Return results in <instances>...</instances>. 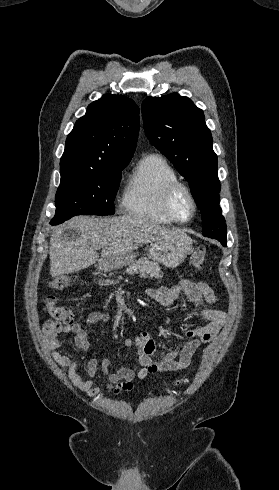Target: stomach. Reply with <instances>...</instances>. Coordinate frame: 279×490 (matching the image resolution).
Returning a JSON list of instances; mask_svg holds the SVG:
<instances>
[{"label": "stomach", "mask_w": 279, "mask_h": 490, "mask_svg": "<svg viewBox=\"0 0 279 490\" xmlns=\"http://www.w3.org/2000/svg\"><path fill=\"white\" fill-rule=\"evenodd\" d=\"M190 250L191 244H188L186 240H166V242L151 244L148 256L154 262H159V264L165 266V268H177V266L183 264ZM135 258H137V254H124V256L111 258V260H102L100 270L102 272L119 270V268L135 262Z\"/></svg>", "instance_id": "stomach-1"}]
</instances>
